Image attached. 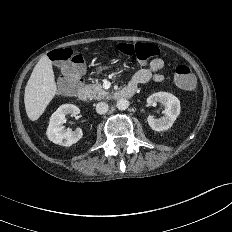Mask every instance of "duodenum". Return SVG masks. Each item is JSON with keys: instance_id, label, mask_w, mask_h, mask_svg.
Here are the masks:
<instances>
[{"instance_id": "duodenum-1", "label": "duodenum", "mask_w": 232, "mask_h": 232, "mask_svg": "<svg viewBox=\"0 0 232 232\" xmlns=\"http://www.w3.org/2000/svg\"><path fill=\"white\" fill-rule=\"evenodd\" d=\"M135 92V89L130 86H126L124 88H121L118 91H115L112 94V98L114 100H119V99H124V98H130L133 96ZM76 95L79 100L81 101H86L88 99V92L85 87H79L78 90L76 91Z\"/></svg>"}]
</instances>
